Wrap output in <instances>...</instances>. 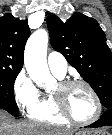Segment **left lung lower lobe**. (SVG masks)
Wrapping results in <instances>:
<instances>
[{"mask_svg":"<svg viewBox=\"0 0 112 135\" xmlns=\"http://www.w3.org/2000/svg\"><path fill=\"white\" fill-rule=\"evenodd\" d=\"M107 125L112 126V108L107 109L102 117L95 123L91 124L90 127L96 128Z\"/></svg>","mask_w":112,"mask_h":135,"instance_id":"0a47b994","label":"left lung lower lobe"}]
</instances>
